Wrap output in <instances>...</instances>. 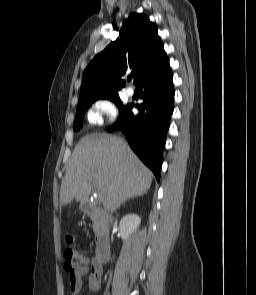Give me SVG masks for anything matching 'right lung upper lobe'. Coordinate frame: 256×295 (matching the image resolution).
<instances>
[{
  "label": "right lung upper lobe",
  "instance_id": "cb5924a9",
  "mask_svg": "<svg viewBox=\"0 0 256 295\" xmlns=\"http://www.w3.org/2000/svg\"><path fill=\"white\" fill-rule=\"evenodd\" d=\"M119 37L96 55L86 68L80 91L82 98L118 95L125 86L121 77L131 70L134 83L167 59L156 26L144 14H131Z\"/></svg>",
  "mask_w": 256,
  "mask_h": 295
}]
</instances>
